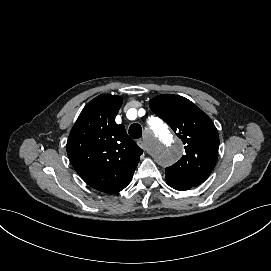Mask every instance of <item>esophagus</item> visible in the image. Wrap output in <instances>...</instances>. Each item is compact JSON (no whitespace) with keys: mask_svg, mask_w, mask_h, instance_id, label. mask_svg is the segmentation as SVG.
Masks as SVG:
<instances>
[{"mask_svg":"<svg viewBox=\"0 0 271 271\" xmlns=\"http://www.w3.org/2000/svg\"><path fill=\"white\" fill-rule=\"evenodd\" d=\"M146 135L147 133L145 132L144 137L138 141V147L141 151L150 153V150L153 147V142L150 138L146 137Z\"/></svg>","mask_w":271,"mask_h":271,"instance_id":"1","label":"esophagus"}]
</instances>
